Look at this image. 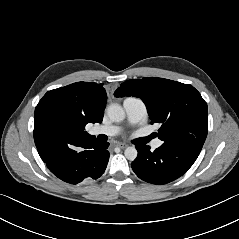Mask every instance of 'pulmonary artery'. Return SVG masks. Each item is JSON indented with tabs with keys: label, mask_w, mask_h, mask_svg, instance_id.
<instances>
[{
	"label": "pulmonary artery",
	"mask_w": 239,
	"mask_h": 239,
	"mask_svg": "<svg viewBox=\"0 0 239 239\" xmlns=\"http://www.w3.org/2000/svg\"><path fill=\"white\" fill-rule=\"evenodd\" d=\"M123 108L126 113V119L130 124H141L147 118V108L144 102L137 97H127L123 101ZM121 128L117 125H101L94 127L91 133L94 135H107L115 136L120 132ZM161 145V141L156 139L153 141L152 146L158 148Z\"/></svg>",
	"instance_id": "e3ab8cb5"
}]
</instances>
